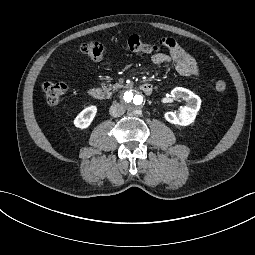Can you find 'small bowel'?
<instances>
[{
  "mask_svg": "<svg viewBox=\"0 0 255 255\" xmlns=\"http://www.w3.org/2000/svg\"><path fill=\"white\" fill-rule=\"evenodd\" d=\"M168 48V53H155L151 61L155 65L173 64L178 74L181 76H196L199 74V67L195 58L186 50L181 48L172 39L161 41Z\"/></svg>",
  "mask_w": 255,
  "mask_h": 255,
  "instance_id": "c3829d8e",
  "label": "small bowel"
}]
</instances>
